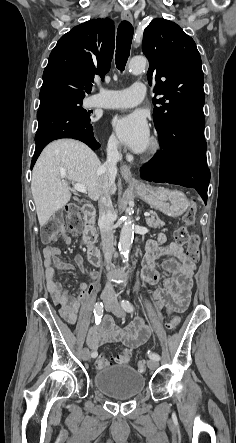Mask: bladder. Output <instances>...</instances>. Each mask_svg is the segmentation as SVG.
I'll use <instances>...</instances> for the list:
<instances>
[{"mask_svg": "<svg viewBox=\"0 0 236 443\" xmlns=\"http://www.w3.org/2000/svg\"><path fill=\"white\" fill-rule=\"evenodd\" d=\"M95 387L114 399L137 396L145 386V376L127 365H112L98 369L93 376Z\"/></svg>", "mask_w": 236, "mask_h": 443, "instance_id": "bladder-1", "label": "bladder"}]
</instances>
